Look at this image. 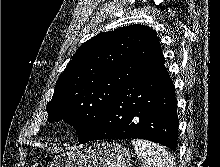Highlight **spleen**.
<instances>
[{"mask_svg": "<svg viewBox=\"0 0 220 167\" xmlns=\"http://www.w3.org/2000/svg\"><path fill=\"white\" fill-rule=\"evenodd\" d=\"M132 145L142 167H175L173 156L163 146L143 139H134Z\"/></svg>", "mask_w": 220, "mask_h": 167, "instance_id": "spleen-1", "label": "spleen"}]
</instances>
